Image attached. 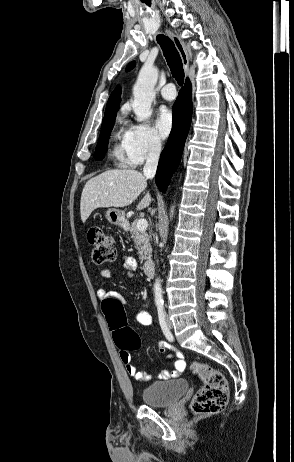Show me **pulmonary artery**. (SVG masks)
I'll list each match as a JSON object with an SVG mask.
<instances>
[{
    "label": "pulmonary artery",
    "mask_w": 294,
    "mask_h": 462,
    "mask_svg": "<svg viewBox=\"0 0 294 462\" xmlns=\"http://www.w3.org/2000/svg\"><path fill=\"white\" fill-rule=\"evenodd\" d=\"M176 95L175 86L172 83L165 85L161 89V96L164 100L172 101L176 98Z\"/></svg>",
    "instance_id": "obj_1"
}]
</instances>
